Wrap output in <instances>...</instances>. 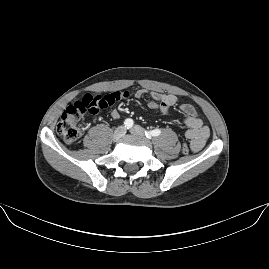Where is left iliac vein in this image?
Here are the masks:
<instances>
[{
    "mask_svg": "<svg viewBox=\"0 0 269 269\" xmlns=\"http://www.w3.org/2000/svg\"><path fill=\"white\" fill-rule=\"evenodd\" d=\"M130 132L136 136L143 137L145 135V131L139 125H135Z\"/></svg>",
    "mask_w": 269,
    "mask_h": 269,
    "instance_id": "4c4485c4",
    "label": "left iliac vein"
}]
</instances>
